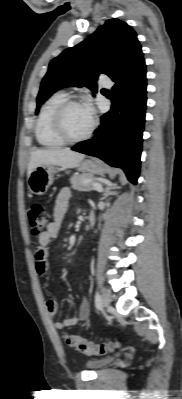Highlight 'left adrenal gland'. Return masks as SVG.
Instances as JSON below:
<instances>
[{
    "mask_svg": "<svg viewBox=\"0 0 182 399\" xmlns=\"http://www.w3.org/2000/svg\"><path fill=\"white\" fill-rule=\"evenodd\" d=\"M118 188H120V187H118L116 184H110V185H108V186L105 188L103 197H102L101 199L103 200V199L107 198L109 195L115 194L116 192L113 191V190H114V189H118Z\"/></svg>",
    "mask_w": 182,
    "mask_h": 399,
    "instance_id": "obj_1",
    "label": "left adrenal gland"
}]
</instances>
